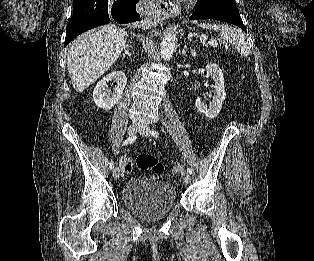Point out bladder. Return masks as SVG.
I'll return each mask as SVG.
<instances>
[{"label":"bladder","instance_id":"31cf9c89","mask_svg":"<svg viewBox=\"0 0 314 261\" xmlns=\"http://www.w3.org/2000/svg\"><path fill=\"white\" fill-rule=\"evenodd\" d=\"M126 208L137 216L149 220L164 218L176 204V189L165 181L133 180L122 190Z\"/></svg>","mask_w":314,"mask_h":261}]
</instances>
